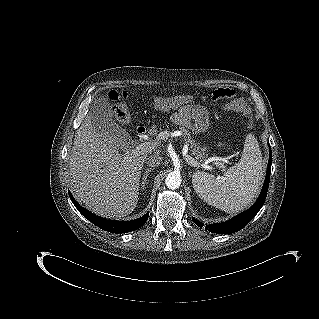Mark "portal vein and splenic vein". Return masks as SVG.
<instances>
[{
    "label": "portal vein and splenic vein",
    "instance_id": "portal-vein-and-splenic-vein-1",
    "mask_svg": "<svg viewBox=\"0 0 319 319\" xmlns=\"http://www.w3.org/2000/svg\"><path fill=\"white\" fill-rule=\"evenodd\" d=\"M171 135L176 136L177 134L171 133ZM169 136H170V133H168V131H164V132H161L159 134V137H161L163 139L167 138ZM155 145L156 144H154L153 142L141 143V144L137 145L135 147V149L132 150L131 154L138 156V155H141V154H144V153L151 152L154 149ZM184 159L191 166H194V167L198 166V167H201V168L210 169V166L208 165L209 162L200 163V162L196 161L194 158H192L189 155H185ZM218 160H220V159H217L216 161H218ZM219 165H221V164H219Z\"/></svg>",
    "mask_w": 319,
    "mask_h": 319
}]
</instances>
